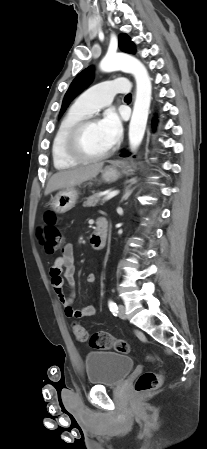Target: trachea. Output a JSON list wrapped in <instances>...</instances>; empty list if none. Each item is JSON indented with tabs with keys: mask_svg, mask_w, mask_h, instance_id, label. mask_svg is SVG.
Listing matches in <instances>:
<instances>
[{
	"mask_svg": "<svg viewBox=\"0 0 207 449\" xmlns=\"http://www.w3.org/2000/svg\"><path fill=\"white\" fill-rule=\"evenodd\" d=\"M132 98V95L131 94H127L126 96H125V99H131Z\"/></svg>",
	"mask_w": 207,
	"mask_h": 449,
	"instance_id": "trachea-1",
	"label": "trachea"
}]
</instances>
